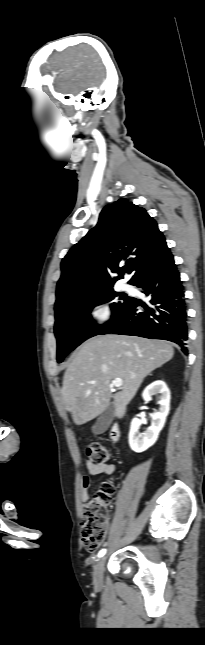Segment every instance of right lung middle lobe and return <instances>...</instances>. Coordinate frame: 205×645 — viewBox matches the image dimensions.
Listing matches in <instances>:
<instances>
[{"instance_id": "1", "label": "right lung middle lobe", "mask_w": 205, "mask_h": 645, "mask_svg": "<svg viewBox=\"0 0 205 645\" xmlns=\"http://www.w3.org/2000/svg\"><path fill=\"white\" fill-rule=\"evenodd\" d=\"M123 301L111 303L112 316L105 325H98L92 321L90 312L94 306L110 302L116 297ZM131 297L121 296L113 289H108L95 294L80 297L71 306L55 314V336L57 338V361L61 363L64 357L86 339L100 335L112 326L120 317Z\"/></svg>"}]
</instances>
